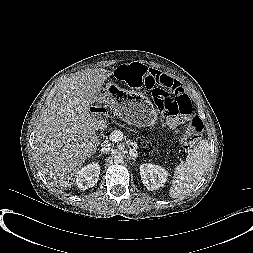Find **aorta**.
<instances>
[{
    "label": "aorta",
    "mask_w": 253,
    "mask_h": 253,
    "mask_svg": "<svg viewBox=\"0 0 253 253\" xmlns=\"http://www.w3.org/2000/svg\"><path fill=\"white\" fill-rule=\"evenodd\" d=\"M123 161V156L121 154H118L114 157L115 163H121Z\"/></svg>",
    "instance_id": "aorta-1"
}]
</instances>
